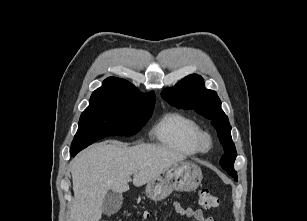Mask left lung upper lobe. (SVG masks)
Instances as JSON below:
<instances>
[{
    "label": "left lung upper lobe",
    "mask_w": 307,
    "mask_h": 221,
    "mask_svg": "<svg viewBox=\"0 0 307 221\" xmlns=\"http://www.w3.org/2000/svg\"><path fill=\"white\" fill-rule=\"evenodd\" d=\"M161 95L172 106L194 109L212 120L225 151L220 165L237 180V173L233 167L237 153L231 138V126L228 117L221 109V101L216 92L205 88L201 76L192 74L183 78L174 87L165 89Z\"/></svg>",
    "instance_id": "left-lung-upper-lobe-1"
}]
</instances>
